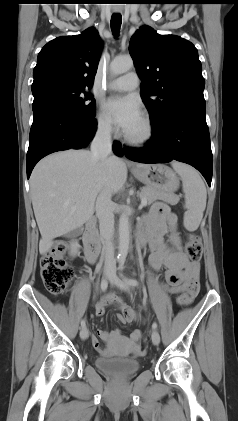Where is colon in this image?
Wrapping results in <instances>:
<instances>
[{
    "label": "colon",
    "mask_w": 238,
    "mask_h": 421,
    "mask_svg": "<svg viewBox=\"0 0 238 421\" xmlns=\"http://www.w3.org/2000/svg\"><path fill=\"white\" fill-rule=\"evenodd\" d=\"M187 255L192 262H198L202 257L201 239L196 234H190L187 240ZM66 246L59 243L47 251L40 261V274L44 286L52 295L63 294L73 277L72 267L65 261ZM199 289L197 279L185 284L184 292L178 297L181 307L189 305Z\"/></svg>",
    "instance_id": "colon-1"
}]
</instances>
